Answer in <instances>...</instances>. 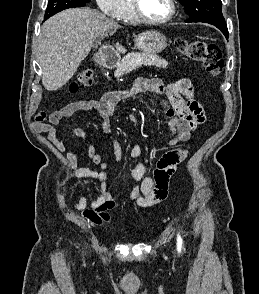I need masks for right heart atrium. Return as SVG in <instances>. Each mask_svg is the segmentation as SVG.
Here are the masks:
<instances>
[{
	"label": "right heart atrium",
	"instance_id": "d8ad5b80",
	"mask_svg": "<svg viewBox=\"0 0 259 294\" xmlns=\"http://www.w3.org/2000/svg\"><path fill=\"white\" fill-rule=\"evenodd\" d=\"M96 3L104 15L116 19L124 8V0H96Z\"/></svg>",
	"mask_w": 259,
	"mask_h": 294
}]
</instances>
